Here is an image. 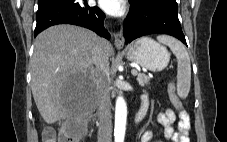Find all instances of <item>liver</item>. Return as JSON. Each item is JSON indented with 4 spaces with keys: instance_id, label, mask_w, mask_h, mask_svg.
<instances>
[{
    "instance_id": "1",
    "label": "liver",
    "mask_w": 227,
    "mask_h": 142,
    "mask_svg": "<svg viewBox=\"0 0 227 142\" xmlns=\"http://www.w3.org/2000/svg\"><path fill=\"white\" fill-rule=\"evenodd\" d=\"M96 43L108 57L112 54L107 40L78 26H52L36 37L30 62L31 89L46 123L69 116L72 95L84 81H95L92 53Z\"/></svg>"
}]
</instances>
